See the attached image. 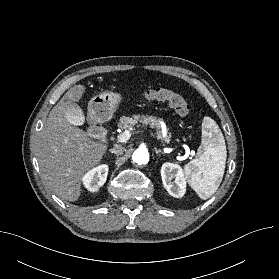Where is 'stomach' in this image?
I'll list each match as a JSON object with an SVG mask.
<instances>
[{
	"label": "stomach",
	"mask_w": 279,
	"mask_h": 279,
	"mask_svg": "<svg viewBox=\"0 0 279 279\" xmlns=\"http://www.w3.org/2000/svg\"><path fill=\"white\" fill-rule=\"evenodd\" d=\"M122 100V95L113 91H105L94 96L88 104L89 119L95 123L109 121Z\"/></svg>",
	"instance_id": "obj_1"
}]
</instances>
